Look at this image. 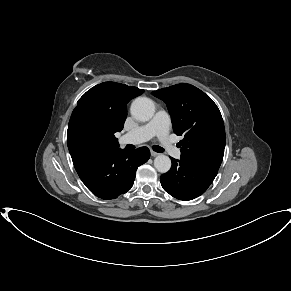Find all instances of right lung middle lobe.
<instances>
[{"label": "right lung middle lobe", "mask_w": 291, "mask_h": 291, "mask_svg": "<svg viewBox=\"0 0 291 291\" xmlns=\"http://www.w3.org/2000/svg\"><path fill=\"white\" fill-rule=\"evenodd\" d=\"M67 140L90 143L92 141V134L86 127L78 126L68 133Z\"/></svg>", "instance_id": "right-lung-middle-lobe-1"}]
</instances>
